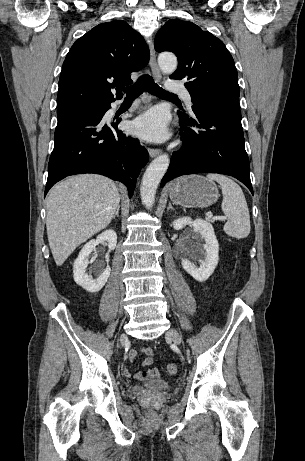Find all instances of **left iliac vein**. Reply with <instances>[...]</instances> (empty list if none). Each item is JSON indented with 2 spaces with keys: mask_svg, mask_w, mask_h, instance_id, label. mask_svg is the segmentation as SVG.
Returning a JSON list of instances; mask_svg holds the SVG:
<instances>
[{
  "mask_svg": "<svg viewBox=\"0 0 305 461\" xmlns=\"http://www.w3.org/2000/svg\"><path fill=\"white\" fill-rule=\"evenodd\" d=\"M166 336L171 338L176 343H181V341H182L180 334L178 333V331L175 328H170L166 332Z\"/></svg>",
  "mask_w": 305,
  "mask_h": 461,
  "instance_id": "4c4485c4",
  "label": "left iliac vein"
}]
</instances>
